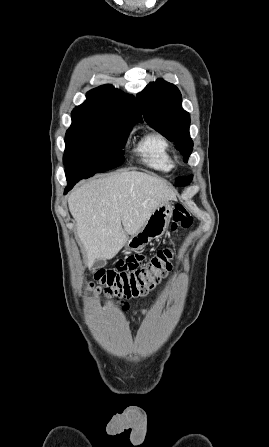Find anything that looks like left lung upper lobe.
<instances>
[{
    "mask_svg": "<svg viewBox=\"0 0 269 447\" xmlns=\"http://www.w3.org/2000/svg\"><path fill=\"white\" fill-rule=\"evenodd\" d=\"M137 99L148 124L173 141L187 162L193 148V141L189 136L190 116L181 107L182 98L178 88L158 79L148 84ZM192 177H179L176 185L185 186L191 182Z\"/></svg>",
    "mask_w": 269,
    "mask_h": 447,
    "instance_id": "1",
    "label": "left lung upper lobe"
}]
</instances>
